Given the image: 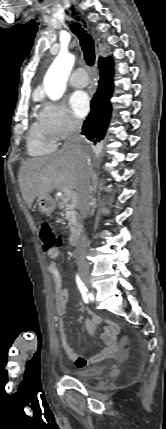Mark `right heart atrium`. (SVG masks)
Masks as SVG:
<instances>
[{
    "label": "right heart atrium",
    "instance_id": "d8ad5b80",
    "mask_svg": "<svg viewBox=\"0 0 166 429\" xmlns=\"http://www.w3.org/2000/svg\"><path fill=\"white\" fill-rule=\"evenodd\" d=\"M38 118L55 141L66 139L81 128V123L70 114L63 102H45Z\"/></svg>",
    "mask_w": 166,
    "mask_h": 429
}]
</instances>
